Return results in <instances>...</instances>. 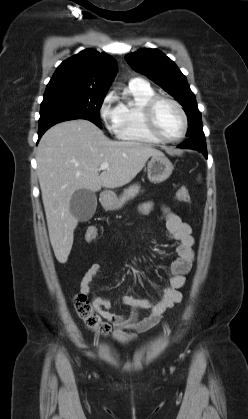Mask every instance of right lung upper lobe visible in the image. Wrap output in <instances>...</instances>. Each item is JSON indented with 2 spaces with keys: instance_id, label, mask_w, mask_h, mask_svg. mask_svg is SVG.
I'll return each mask as SVG.
<instances>
[{
  "instance_id": "obj_1",
  "label": "right lung upper lobe",
  "mask_w": 248,
  "mask_h": 419,
  "mask_svg": "<svg viewBox=\"0 0 248 419\" xmlns=\"http://www.w3.org/2000/svg\"><path fill=\"white\" fill-rule=\"evenodd\" d=\"M117 70L116 60L94 49H86L63 61L47 88H76L106 93Z\"/></svg>"
}]
</instances>
